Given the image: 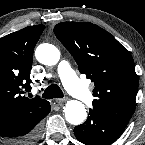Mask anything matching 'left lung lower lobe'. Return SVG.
Segmentation results:
<instances>
[{
    "instance_id": "obj_1",
    "label": "left lung lower lobe",
    "mask_w": 145,
    "mask_h": 145,
    "mask_svg": "<svg viewBox=\"0 0 145 145\" xmlns=\"http://www.w3.org/2000/svg\"><path fill=\"white\" fill-rule=\"evenodd\" d=\"M125 127V124L89 110L87 120L74 128V134L85 145H109L122 134Z\"/></svg>"
}]
</instances>
